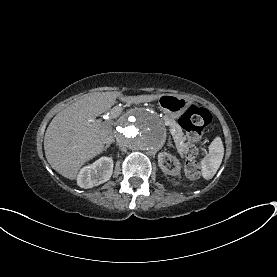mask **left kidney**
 Segmentation results:
<instances>
[{
	"label": "left kidney",
	"instance_id": "5707ae66",
	"mask_svg": "<svg viewBox=\"0 0 277 277\" xmlns=\"http://www.w3.org/2000/svg\"><path fill=\"white\" fill-rule=\"evenodd\" d=\"M166 160L172 161L174 163V168L168 169L165 165ZM158 165L162 169V171L167 175L176 176L180 173L181 170L180 163L177 160V158L168 153H160L158 155Z\"/></svg>",
	"mask_w": 277,
	"mask_h": 277
}]
</instances>
